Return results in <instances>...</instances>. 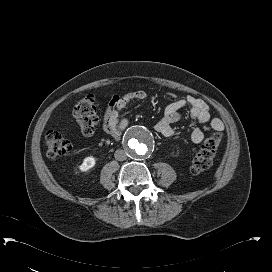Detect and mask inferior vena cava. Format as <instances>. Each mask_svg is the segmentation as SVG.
I'll list each match as a JSON object with an SVG mask.
<instances>
[{
    "label": "inferior vena cava",
    "mask_w": 272,
    "mask_h": 272,
    "mask_svg": "<svg viewBox=\"0 0 272 272\" xmlns=\"http://www.w3.org/2000/svg\"><path fill=\"white\" fill-rule=\"evenodd\" d=\"M114 157L118 161H124L127 159V152L122 149H118L115 151Z\"/></svg>",
    "instance_id": "602c4592"
}]
</instances>
